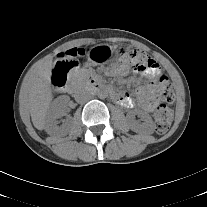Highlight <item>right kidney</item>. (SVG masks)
<instances>
[{
    "mask_svg": "<svg viewBox=\"0 0 207 207\" xmlns=\"http://www.w3.org/2000/svg\"><path fill=\"white\" fill-rule=\"evenodd\" d=\"M68 101L69 98L67 96H60L52 102L45 118L46 132L53 133L59 130L57 126L58 119L63 116L64 108L67 106ZM63 127H65V125H63Z\"/></svg>",
    "mask_w": 207,
    "mask_h": 207,
    "instance_id": "1",
    "label": "right kidney"
}]
</instances>
